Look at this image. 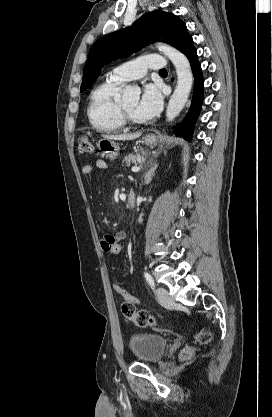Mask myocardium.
I'll return each mask as SVG.
<instances>
[{
    "mask_svg": "<svg viewBox=\"0 0 272 417\" xmlns=\"http://www.w3.org/2000/svg\"><path fill=\"white\" fill-rule=\"evenodd\" d=\"M119 116L124 126H138L143 123L142 120H137L125 110L122 104H119Z\"/></svg>",
    "mask_w": 272,
    "mask_h": 417,
    "instance_id": "myocardium-1",
    "label": "myocardium"
}]
</instances>
